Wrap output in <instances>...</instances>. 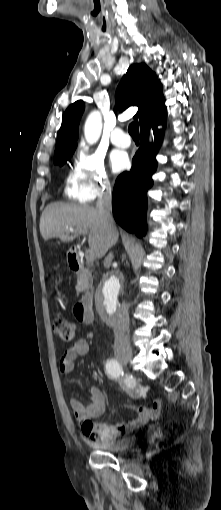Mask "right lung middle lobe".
<instances>
[{
	"label": "right lung middle lobe",
	"mask_w": 221,
	"mask_h": 510,
	"mask_svg": "<svg viewBox=\"0 0 221 510\" xmlns=\"http://www.w3.org/2000/svg\"><path fill=\"white\" fill-rule=\"evenodd\" d=\"M74 151H75V148H72L60 155L55 156L54 163H59L60 165H63L64 163H66L67 160L70 159V157L72 156Z\"/></svg>",
	"instance_id": "right-lung-middle-lobe-1"
}]
</instances>
